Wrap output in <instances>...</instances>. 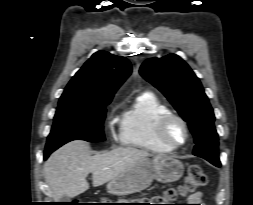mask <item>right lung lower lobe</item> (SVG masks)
Here are the masks:
<instances>
[{"mask_svg": "<svg viewBox=\"0 0 253 205\" xmlns=\"http://www.w3.org/2000/svg\"><path fill=\"white\" fill-rule=\"evenodd\" d=\"M54 150L45 151L44 153V159H47L48 156L53 152Z\"/></svg>", "mask_w": 253, "mask_h": 205, "instance_id": "right-lung-lower-lobe-1", "label": "right lung lower lobe"}]
</instances>
